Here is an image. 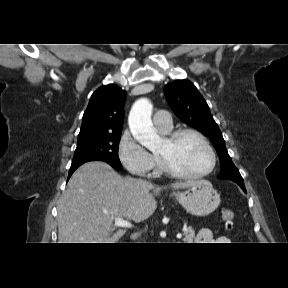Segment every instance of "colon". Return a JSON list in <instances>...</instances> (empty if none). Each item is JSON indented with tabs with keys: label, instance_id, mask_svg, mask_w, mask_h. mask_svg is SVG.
<instances>
[{
	"label": "colon",
	"instance_id": "obj_1",
	"mask_svg": "<svg viewBox=\"0 0 288 288\" xmlns=\"http://www.w3.org/2000/svg\"><path fill=\"white\" fill-rule=\"evenodd\" d=\"M221 218L224 222V226L227 230H232L234 227V213L230 209H221L220 210Z\"/></svg>",
	"mask_w": 288,
	"mask_h": 288
}]
</instances>
